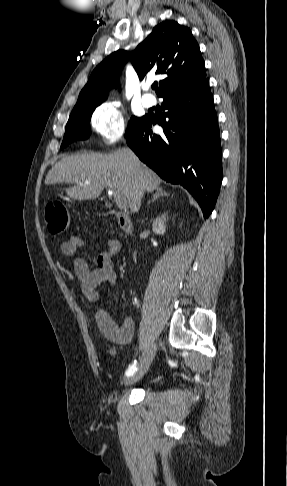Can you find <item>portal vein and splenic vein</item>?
Segmentation results:
<instances>
[{
  "mask_svg": "<svg viewBox=\"0 0 287 486\" xmlns=\"http://www.w3.org/2000/svg\"><path fill=\"white\" fill-rule=\"evenodd\" d=\"M108 194L114 196V199H115L119 208L123 209V208L127 207V199L122 194H120L118 191L110 189L108 191Z\"/></svg>",
  "mask_w": 287,
  "mask_h": 486,
  "instance_id": "obj_1",
  "label": "portal vein and splenic vein"
}]
</instances>
